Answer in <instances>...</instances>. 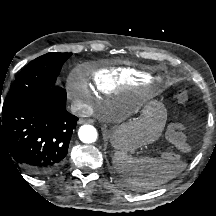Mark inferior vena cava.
<instances>
[{"mask_svg": "<svg viewBox=\"0 0 216 216\" xmlns=\"http://www.w3.org/2000/svg\"><path fill=\"white\" fill-rule=\"evenodd\" d=\"M71 111L75 115L84 116L91 112V108L80 100H75L71 104Z\"/></svg>", "mask_w": 216, "mask_h": 216, "instance_id": "1", "label": "inferior vena cava"}]
</instances>
